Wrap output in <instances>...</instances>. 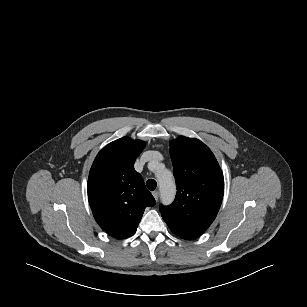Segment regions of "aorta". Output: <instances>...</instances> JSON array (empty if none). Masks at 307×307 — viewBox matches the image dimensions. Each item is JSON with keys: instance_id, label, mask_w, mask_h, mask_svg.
<instances>
[{"instance_id": "obj_1", "label": "aorta", "mask_w": 307, "mask_h": 307, "mask_svg": "<svg viewBox=\"0 0 307 307\" xmlns=\"http://www.w3.org/2000/svg\"><path fill=\"white\" fill-rule=\"evenodd\" d=\"M156 175L162 202L164 204L172 203L176 195V186L172 173L167 169H160Z\"/></svg>"}]
</instances>
